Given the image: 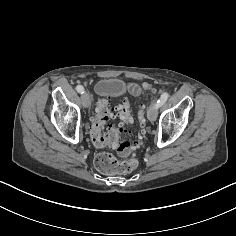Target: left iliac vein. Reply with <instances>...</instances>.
<instances>
[{
    "instance_id": "1",
    "label": "left iliac vein",
    "mask_w": 236,
    "mask_h": 236,
    "mask_svg": "<svg viewBox=\"0 0 236 236\" xmlns=\"http://www.w3.org/2000/svg\"><path fill=\"white\" fill-rule=\"evenodd\" d=\"M156 104L157 102H154L148 109L147 117L150 121H155L157 119L158 112H157Z\"/></svg>"
}]
</instances>
